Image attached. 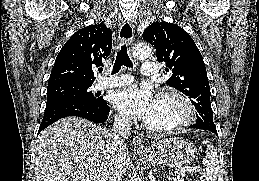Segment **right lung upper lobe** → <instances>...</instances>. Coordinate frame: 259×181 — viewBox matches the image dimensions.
Listing matches in <instances>:
<instances>
[{"instance_id":"right-lung-upper-lobe-1","label":"right lung upper lobe","mask_w":259,"mask_h":181,"mask_svg":"<svg viewBox=\"0 0 259 181\" xmlns=\"http://www.w3.org/2000/svg\"><path fill=\"white\" fill-rule=\"evenodd\" d=\"M112 48V32L94 24L75 32L56 57L48 86L61 83L92 84L93 69L103 66Z\"/></svg>"}]
</instances>
